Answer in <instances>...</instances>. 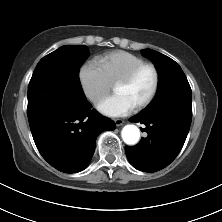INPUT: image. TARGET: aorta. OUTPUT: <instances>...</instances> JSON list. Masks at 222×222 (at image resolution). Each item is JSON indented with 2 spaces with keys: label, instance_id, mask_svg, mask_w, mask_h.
Masks as SVG:
<instances>
[{
  "label": "aorta",
  "instance_id": "1",
  "mask_svg": "<svg viewBox=\"0 0 222 222\" xmlns=\"http://www.w3.org/2000/svg\"><path fill=\"white\" fill-rule=\"evenodd\" d=\"M121 135L123 141L127 145H135L140 139V131L138 127L131 124L123 127Z\"/></svg>",
  "mask_w": 222,
  "mask_h": 222
}]
</instances>
